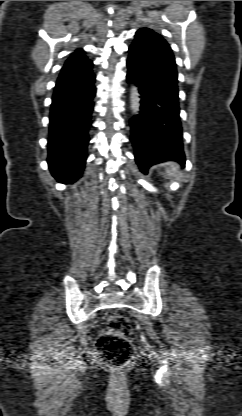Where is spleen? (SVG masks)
<instances>
[{"label":"spleen","mask_w":242,"mask_h":416,"mask_svg":"<svg viewBox=\"0 0 242 416\" xmlns=\"http://www.w3.org/2000/svg\"><path fill=\"white\" fill-rule=\"evenodd\" d=\"M175 172H176V168L174 166H171V168L167 170L168 175H173Z\"/></svg>","instance_id":"1"}]
</instances>
